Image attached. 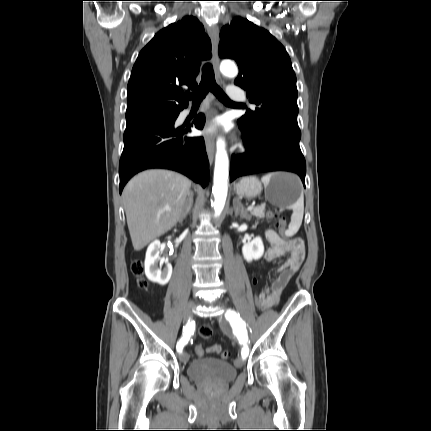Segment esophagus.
<instances>
[{"label":"esophagus","instance_id":"esophagus-1","mask_svg":"<svg viewBox=\"0 0 431 431\" xmlns=\"http://www.w3.org/2000/svg\"><path fill=\"white\" fill-rule=\"evenodd\" d=\"M208 33L210 35L211 41H212V63L215 69L216 74L218 75V68H219V56H218V45H219V29L217 25H212L207 28ZM210 124V122H209ZM205 146H206V152L208 155V159L210 164L212 165L214 160V153H215V147H214V138L212 135L207 134L205 136Z\"/></svg>","mask_w":431,"mask_h":431}]
</instances>
